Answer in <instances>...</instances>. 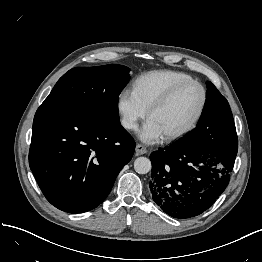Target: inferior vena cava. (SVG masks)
Returning a JSON list of instances; mask_svg holds the SVG:
<instances>
[{"instance_id": "inferior-vena-cava-1", "label": "inferior vena cava", "mask_w": 262, "mask_h": 262, "mask_svg": "<svg viewBox=\"0 0 262 262\" xmlns=\"http://www.w3.org/2000/svg\"><path fill=\"white\" fill-rule=\"evenodd\" d=\"M122 125L124 128H127V129L137 128V124L133 120L128 119V118H124L122 120Z\"/></svg>"}]
</instances>
